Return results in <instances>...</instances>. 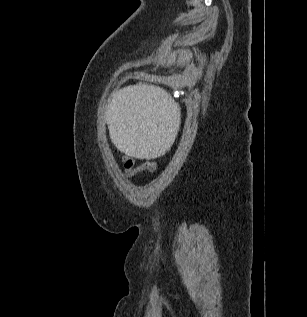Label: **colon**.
<instances>
[{"label": "colon", "instance_id": "obj_1", "mask_svg": "<svg viewBox=\"0 0 307 317\" xmlns=\"http://www.w3.org/2000/svg\"><path fill=\"white\" fill-rule=\"evenodd\" d=\"M122 162L124 166V172L127 176H133L137 173L147 171L150 173H154L156 171L157 165L155 162L147 161L138 166H136V162L132 157L124 156L122 157Z\"/></svg>", "mask_w": 307, "mask_h": 317}]
</instances>
